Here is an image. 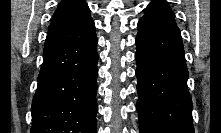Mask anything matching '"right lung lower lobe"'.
I'll return each mask as SVG.
<instances>
[{
	"label": "right lung lower lobe",
	"instance_id": "98d812e1",
	"mask_svg": "<svg viewBox=\"0 0 221 133\" xmlns=\"http://www.w3.org/2000/svg\"><path fill=\"white\" fill-rule=\"evenodd\" d=\"M97 37L45 46L31 133H96Z\"/></svg>",
	"mask_w": 221,
	"mask_h": 133
}]
</instances>
